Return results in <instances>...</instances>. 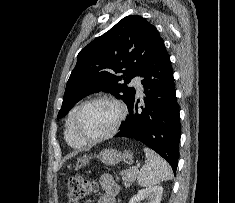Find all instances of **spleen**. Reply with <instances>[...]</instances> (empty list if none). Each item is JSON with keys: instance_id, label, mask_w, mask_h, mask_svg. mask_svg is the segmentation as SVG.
I'll use <instances>...</instances> for the list:
<instances>
[{"instance_id": "3e777b00", "label": "spleen", "mask_w": 235, "mask_h": 203, "mask_svg": "<svg viewBox=\"0 0 235 203\" xmlns=\"http://www.w3.org/2000/svg\"><path fill=\"white\" fill-rule=\"evenodd\" d=\"M144 152L148 162L140 169L138 175L139 186L151 187L173 178L172 169L163 158L147 147L144 148Z\"/></svg>"}]
</instances>
